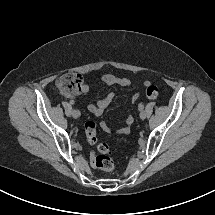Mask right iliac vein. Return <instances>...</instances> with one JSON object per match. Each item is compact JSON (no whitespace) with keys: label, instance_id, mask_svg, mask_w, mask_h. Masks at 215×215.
<instances>
[{"label":"right iliac vein","instance_id":"obj_1","mask_svg":"<svg viewBox=\"0 0 215 215\" xmlns=\"http://www.w3.org/2000/svg\"><path fill=\"white\" fill-rule=\"evenodd\" d=\"M72 116H73V118L78 119L79 116H80V112L77 111V110H74L73 113H72Z\"/></svg>","mask_w":215,"mask_h":215}]
</instances>
